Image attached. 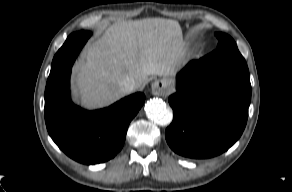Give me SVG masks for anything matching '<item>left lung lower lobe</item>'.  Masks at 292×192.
<instances>
[{
	"label": "left lung lower lobe",
	"mask_w": 292,
	"mask_h": 192,
	"mask_svg": "<svg viewBox=\"0 0 292 192\" xmlns=\"http://www.w3.org/2000/svg\"><path fill=\"white\" fill-rule=\"evenodd\" d=\"M169 97L174 118L165 131L170 148L185 157L210 158L241 136L251 101L249 70L238 50L218 49L190 61Z\"/></svg>",
	"instance_id": "0a47b994"
}]
</instances>
